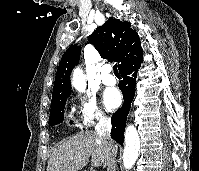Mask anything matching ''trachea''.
Wrapping results in <instances>:
<instances>
[{
	"label": "trachea",
	"instance_id": "obj_1",
	"mask_svg": "<svg viewBox=\"0 0 199 171\" xmlns=\"http://www.w3.org/2000/svg\"><path fill=\"white\" fill-rule=\"evenodd\" d=\"M113 71H114L115 74H119L117 64H115V65L113 66Z\"/></svg>",
	"mask_w": 199,
	"mask_h": 171
}]
</instances>
